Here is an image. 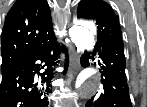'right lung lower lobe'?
<instances>
[{
	"label": "right lung lower lobe",
	"instance_id": "1",
	"mask_svg": "<svg viewBox=\"0 0 147 107\" xmlns=\"http://www.w3.org/2000/svg\"><path fill=\"white\" fill-rule=\"evenodd\" d=\"M61 49L65 52V70L68 53L59 47L56 37L32 49L22 59L2 68L0 107H47L51 92L53 66Z\"/></svg>",
	"mask_w": 147,
	"mask_h": 107
}]
</instances>
